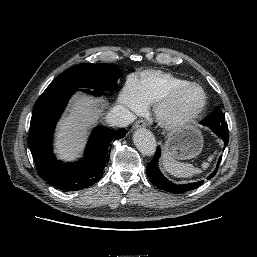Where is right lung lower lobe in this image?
<instances>
[{"mask_svg": "<svg viewBox=\"0 0 257 257\" xmlns=\"http://www.w3.org/2000/svg\"><path fill=\"white\" fill-rule=\"evenodd\" d=\"M75 91L61 89L43 93L34 105L28 136V145L41 178L65 191L81 190L99 181L109 162L111 141L126 134L125 129L115 131L103 126L97 127L89 138L83 161H57L52 151L54 127ZM90 93L97 96L104 94L103 90L98 89Z\"/></svg>", "mask_w": 257, "mask_h": 257, "instance_id": "98d812e1", "label": "right lung lower lobe"}]
</instances>
